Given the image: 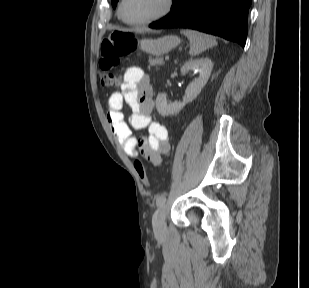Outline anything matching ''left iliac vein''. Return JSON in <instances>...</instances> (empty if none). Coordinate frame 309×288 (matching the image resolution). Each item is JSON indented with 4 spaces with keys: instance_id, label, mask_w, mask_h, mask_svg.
<instances>
[{
    "instance_id": "1",
    "label": "left iliac vein",
    "mask_w": 309,
    "mask_h": 288,
    "mask_svg": "<svg viewBox=\"0 0 309 288\" xmlns=\"http://www.w3.org/2000/svg\"><path fill=\"white\" fill-rule=\"evenodd\" d=\"M166 206L163 204L155 211L153 216V229L155 233L161 235L166 231Z\"/></svg>"
}]
</instances>
